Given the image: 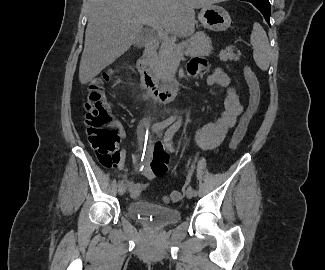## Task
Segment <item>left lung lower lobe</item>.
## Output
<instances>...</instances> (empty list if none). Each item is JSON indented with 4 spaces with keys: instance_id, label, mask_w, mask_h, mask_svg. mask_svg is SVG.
Returning <instances> with one entry per match:
<instances>
[{
    "instance_id": "0a47b994",
    "label": "left lung lower lobe",
    "mask_w": 325,
    "mask_h": 270,
    "mask_svg": "<svg viewBox=\"0 0 325 270\" xmlns=\"http://www.w3.org/2000/svg\"><path fill=\"white\" fill-rule=\"evenodd\" d=\"M251 2L264 16L267 23L270 25V3L269 0H242Z\"/></svg>"
}]
</instances>
